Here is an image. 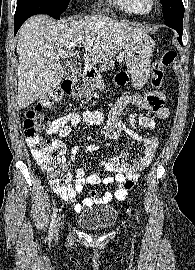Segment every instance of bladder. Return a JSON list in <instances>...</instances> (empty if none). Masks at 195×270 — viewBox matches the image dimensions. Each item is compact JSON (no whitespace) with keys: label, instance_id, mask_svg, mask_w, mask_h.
<instances>
[{"label":"bladder","instance_id":"bladder-1","mask_svg":"<svg viewBox=\"0 0 195 270\" xmlns=\"http://www.w3.org/2000/svg\"><path fill=\"white\" fill-rule=\"evenodd\" d=\"M118 218L117 210L111 205H103L83 210L77 224L80 228L93 232H104L110 229Z\"/></svg>","mask_w":195,"mask_h":270}]
</instances>
